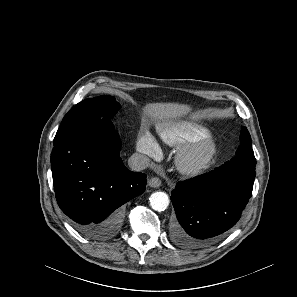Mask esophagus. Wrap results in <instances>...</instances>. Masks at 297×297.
<instances>
[{"mask_svg": "<svg viewBox=\"0 0 297 297\" xmlns=\"http://www.w3.org/2000/svg\"><path fill=\"white\" fill-rule=\"evenodd\" d=\"M148 185L152 188H158L161 186V180L158 177H152L148 180Z\"/></svg>", "mask_w": 297, "mask_h": 297, "instance_id": "esophagus-1", "label": "esophagus"}]
</instances>
